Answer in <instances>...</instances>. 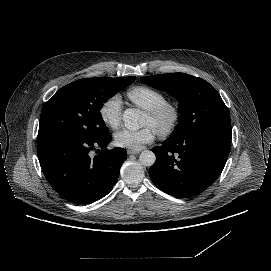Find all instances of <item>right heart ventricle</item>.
Returning a JSON list of instances; mask_svg holds the SVG:
<instances>
[{
	"label": "right heart ventricle",
	"mask_w": 271,
	"mask_h": 271,
	"mask_svg": "<svg viewBox=\"0 0 271 271\" xmlns=\"http://www.w3.org/2000/svg\"><path fill=\"white\" fill-rule=\"evenodd\" d=\"M128 98L141 108L148 110L166 102L165 94L146 85H138L127 91Z\"/></svg>",
	"instance_id": "right-heart-ventricle-1"
}]
</instances>
